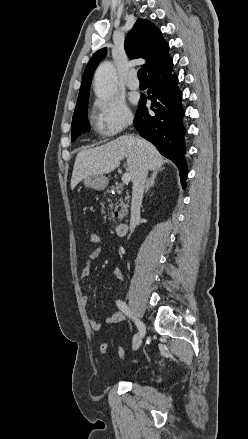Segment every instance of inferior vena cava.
Returning a JSON list of instances; mask_svg holds the SVG:
<instances>
[{
  "label": "inferior vena cava",
  "instance_id": "1",
  "mask_svg": "<svg viewBox=\"0 0 248 439\" xmlns=\"http://www.w3.org/2000/svg\"><path fill=\"white\" fill-rule=\"evenodd\" d=\"M148 164L145 157L139 163L137 171L132 179V201H131V218L130 231L133 232L140 219V208L143 199L145 181L148 175Z\"/></svg>",
  "mask_w": 248,
  "mask_h": 439
}]
</instances>
